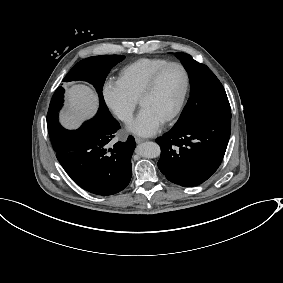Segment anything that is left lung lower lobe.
Here are the masks:
<instances>
[{"label": "left lung lower lobe", "instance_id": "0a47b994", "mask_svg": "<svg viewBox=\"0 0 283 283\" xmlns=\"http://www.w3.org/2000/svg\"><path fill=\"white\" fill-rule=\"evenodd\" d=\"M231 113L199 117L175 125L156 142L161 147L158 167L172 183L192 187L206 181L219 167L230 137Z\"/></svg>", "mask_w": 283, "mask_h": 283}]
</instances>
